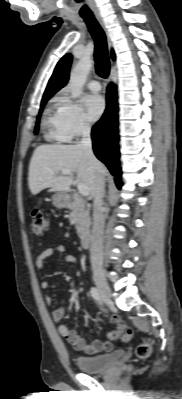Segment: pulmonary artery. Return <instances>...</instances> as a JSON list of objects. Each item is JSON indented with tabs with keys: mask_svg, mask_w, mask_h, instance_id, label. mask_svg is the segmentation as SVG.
I'll return each instance as SVG.
<instances>
[{
	"mask_svg": "<svg viewBox=\"0 0 182 399\" xmlns=\"http://www.w3.org/2000/svg\"><path fill=\"white\" fill-rule=\"evenodd\" d=\"M88 88L92 91V92H99L101 90V84L99 81L97 80H91L88 83Z\"/></svg>",
	"mask_w": 182,
	"mask_h": 399,
	"instance_id": "pulmonary-artery-1",
	"label": "pulmonary artery"
}]
</instances>
